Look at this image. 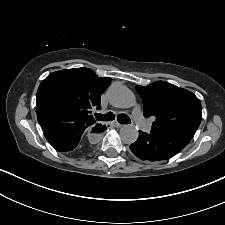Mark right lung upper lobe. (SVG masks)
<instances>
[{"mask_svg":"<svg viewBox=\"0 0 225 225\" xmlns=\"http://www.w3.org/2000/svg\"><path fill=\"white\" fill-rule=\"evenodd\" d=\"M110 83L111 78H99L87 68L53 72L41 82L36 106L79 116L95 124L90 109L101 108L100 96Z\"/></svg>","mask_w":225,"mask_h":225,"instance_id":"1","label":"right lung upper lobe"}]
</instances>
